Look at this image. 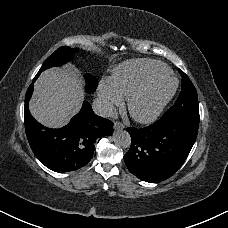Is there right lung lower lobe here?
Wrapping results in <instances>:
<instances>
[{
  "instance_id": "98d812e1",
  "label": "right lung lower lobe",
  "mask_w": 228,
  "mask_h": 228,
  "mask_svg": "<svg viewBox=\"0 0 228 228\" xmlns=\"http://www.w3.org/2000/svg\"><path fill=\"white\" fill-rule=\"evenodd\" d=\"M33 87L32 83L25 96L24 116L26 135L34 154L55 172H68L85 166L93 157L96 140L113 133V123L97 116L91 105L84 101L80 112L66 126L45 128L35 121L28 109Z\"/></svg>"
}]
</instances>
